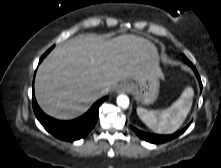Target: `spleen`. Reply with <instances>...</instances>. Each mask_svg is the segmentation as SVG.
<instances>
[{
  "label": "spleen",
  "mask_w": 221,
  "mask_h": 168,
  "mask_svg": "<svg viewBox=\"0 0 221 168\" xmlns=\"http://www.w3.org/2000/svg\"><path fill=\"white\" fill-rule=\"evenodd\" d=\"M194 91L187 87L181 96L169 108L163 110H147L137 108L139 118L154 132L172 134L179 129L190 112Z\"/></svg>",
  "instance_id": "3e777b00"
}]
</instances>
